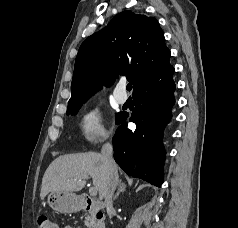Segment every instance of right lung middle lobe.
Here are the masks:
<instances>
[{
	"instance_id": "dd1d6c3e",
	"label": "right lung middle lobe",
	"mask_w": 238,
	"mask_h": 228,
	"mask_svg": "<svg viewBox=\"0 0 238 228\" xmlns=\"http://www.w3.org/2000/svg\"><path fill=\"white\" fill-rule=\"evenodd\" d=\"M82 104H68L67 108V114L75 115L78 112V108H80ZM119 116V114H116V118Z\"/></svg>"
}]
</instances>
